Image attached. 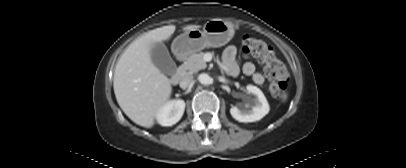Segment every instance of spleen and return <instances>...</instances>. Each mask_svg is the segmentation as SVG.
<instances>
[{
	"mask_svg": "<svg viewBox=\"0 0 406 168\" xmlns=\"http://www.w3.org/2000/svg\"><path fill=\"white\" fill-rule=\"evenodd\" d=\"M282 99H283V101H285V100L287 99V94L284 93V94L282 95Z\"/></svg>",
	"mask_w": 406,
	"mask_h": 168,
	"instance_id": "3e777b00",
	"label": "spleen"
}]
</instances>
